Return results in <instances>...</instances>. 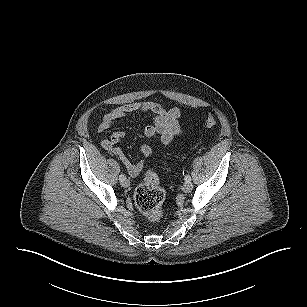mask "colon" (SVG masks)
Segmentation results:
<instances>
[{
	"instance_id": "colon-1",
	"label": "colon",
	"mask_w": 307,
	"mask_h": 307,
	"mask_svg": "<svg viewBox=\"0 0 307 307\" xmlns=\"http://www.w3.org/2000/svg\"><path fill=\"white\" fill-rule=\"evenodd\" d=\"M216 119L209 114L205 121L206 128H213ZM165 191L160 184L158 175L153 170L146 171L143 182L136 188L134 202L136 207L151 222L161 221L166 214L163 206Z\"/></svg>"
}]
</instances>
